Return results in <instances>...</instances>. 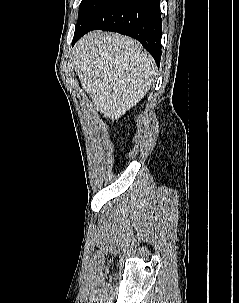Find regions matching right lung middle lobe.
<instances>
[{"instance_id":"dd1d6c3e","label":"right lung middle lobe","mask_w":239,"mask_h":303,"mask_svg":"<svg viewBox=\"0 0 239 303\" xmlns=\"http://www.w3.org/2000/svg\"><path fill=\"white\" fill-rule=\"evenodd\" d=\"M107 0H82L79 6L78 21L75 28V33L81 31L88 22L92 19L97 10Z\"/></svg>"}]
</instances>
